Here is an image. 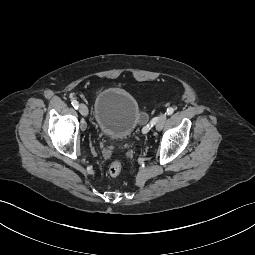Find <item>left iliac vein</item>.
Segmentation results:
<instances>
[{
	"instance_id": "left-iliac-vein-1",
	"label": "left iliac vein",
	"mask_w": 255,
	"mask_h": 255,
	"mask_svg": "<svg viewBox=\"0 0 255 255\" xmlns=\"http://www.w3.org/2000/svg\"><path fill=\"white\" fill-rule=\"evenodd\" d=\"M165 119L166 115L164 113H161L156 117V130L160 131L163 128Z\"/></svg>"
}]
</instances>
